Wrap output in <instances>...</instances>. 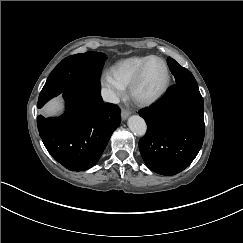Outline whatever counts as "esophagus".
Returning a JSON list of instances; mask_svg holds the SVG:
<instances>
[{"label": "esophagus", "instance_id": "obj_1", "mask_svg": "<svg viewBox=\"0 0 243 243\" xmlns=\"http://www.w3.org/2000/svg\"><path fill=\"white\" fill-rule=\"evenodd\" d=\"M130 111L129 110H127V109H122V111H121V118H122V120H126L127 119V117L130 115Z\"/></svg>", "mask_w": 243, "mask_h": 243}]
</instances>
